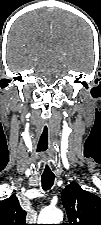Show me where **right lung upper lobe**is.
I'll return each instance as SVG.
<instances>
[{
  "mask_svg": "<svg viewBox=\"0 0 101 225\" xmlns=\"http://www.w3.org/2000/svg\"><path fill=\"white\" fill-rule=\"evenodd\" d=\"M25 216L14 194L0 202V225H27Z\"/></svg>",
  "mask_w": 101,
  "mask_h": 225,
  "instance_id": "right-lung-upper-lobe-1",
  "label": "right lung upper lobe"
}]
</instances>
